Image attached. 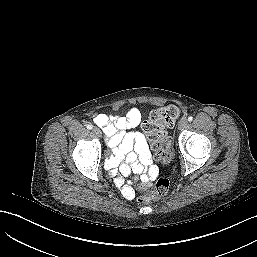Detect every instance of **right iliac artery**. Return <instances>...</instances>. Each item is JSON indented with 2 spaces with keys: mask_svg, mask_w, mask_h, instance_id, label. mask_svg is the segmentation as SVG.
<instances>
[{
  "mask_svg": "<svg viewBox=\"0 0 257 257\" xmlns=\"http://www.w3.org/2000/svg\"><path fill=\"white\" fill-rule=\"evenodd\" d=\"M92 127H93V126H92L91 124H88V125H87V129H89V130H91Z\"/></svg>",
  "mask_w": 257,
  "mask_h": 257,
  "instance_id": "82829eb1",
  "label": "right iliac artery"
}]
</instances>
